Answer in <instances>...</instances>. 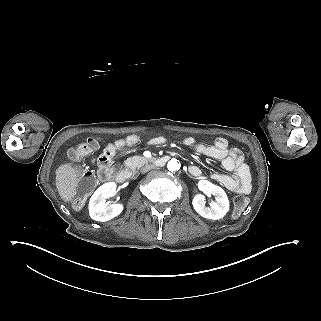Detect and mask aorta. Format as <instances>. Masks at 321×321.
Masks as SVG:
<instances>
[{
    "label": "aorta",
    "mask_w": 321,
    "mask_h": 321,
    "mask_svg": "<svg viewBox=\"0 0 321 321\" xmlns=\"http://www.w3.org/2000/svg\"><path fill=\"white\" fill-rule=\"evenodd\" d=\"M180 163H179V161L177 160V159H171L169 162H168V164H167V168H168V170L169 171H171V172H174V171H177V170H179L180 169Z\"/></svg>",
    "instance_id": "762f6f07"
}]
</instances>
